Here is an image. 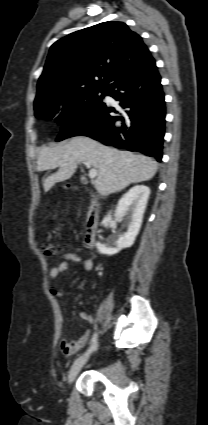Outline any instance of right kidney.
I'll return each mask as SVG.
<instances>
[{"label": "right kidney", "instance_id": "obj_1", "mask_svg": "<svg viewBox=\"0 0 208 425\" xmlns=\"http://www.w3.org/2000/svg\"><path fill=\"white\" fill-rule=\"evenodd\" d=\"M149 195L150 189L147 186L137 185L132 187L119 200L114 216L117 221L126 217L128 221V230L123 235L119 236L118 240L115 242V246L103 245L97 242L96 247L101 254L114 255L120 250L129 248L134 244L142 224L143 214Z\"/></svg>", "mask_w": 208, "mask_h": 425}]
</instances>
